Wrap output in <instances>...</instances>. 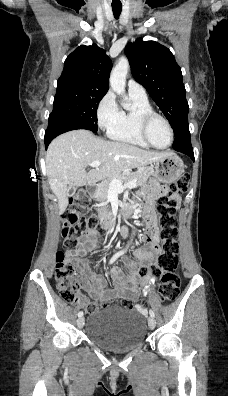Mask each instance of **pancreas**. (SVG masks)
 I'll list each match as a JSON object with an SVG mask.
<instances>
[{"label":"pancreas","mask_w":228,"mask_h":396,"mask_svg":"<svg viewBox=\"0 0 228 396\" xmlns=\"http://www.w3.org/2000/svg\"><path fill=\"white\" fill-rule=\"evenodd\" d=\"M151 175L150 168H144L138 172H132L128 175H118L115 178L119 179L122 183H127L132 180H136V186H142L145 184ZM113 179L104 180L101 184L98 185L95 198L97 201L103 203L102 208H98V216L100 220H107L111 218V212L108 209V205L106 203L109 193L111 191L110 184Z\"/></svg>","instance_id":"obj_1"}]
</instances>
